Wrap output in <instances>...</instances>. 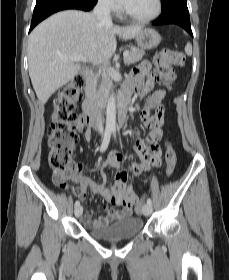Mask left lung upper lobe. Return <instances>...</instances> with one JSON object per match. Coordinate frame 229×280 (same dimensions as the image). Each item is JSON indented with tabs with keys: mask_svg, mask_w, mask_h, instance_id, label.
Listing matches in <instances>:
<instances>
[{
	"mask_svg": "<svg viewBox=\"0 0 229 280\" xmlns=\"http://www.w3.org/2000/svg\"><path fill=\"white\" fill-rule=\"evenodd\" d=\"M163 1V8L171 4L174 0H162Z\"/></svg>",
	"mask_w": 229,
	"mask_h": 280,
	"instance_id": "left-lung-upper-lobe-1",
	"label": "left lung upper lobe"
}]
</instances>
